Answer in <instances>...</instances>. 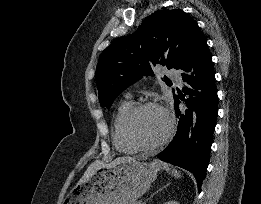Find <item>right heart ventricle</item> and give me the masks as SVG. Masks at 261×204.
I'll list each match as a JSON object with an SVG mask.
<instances>
[{"label": "right heart ventricle", "instance_id": "1", "mask_svg": "<svg viewBox=\"0 0 261 204\" xmlns=\"http://www.w3.org/2000/svg\"><path fill=\"white\" fill-rule=\"evenodd\" d=\"M134 106V102L131 100H125L121 102L118 105L113 118V143L115 148L121 153L131 154L137 151V149L127 141L123 133L124 119Z\"/></svg>", "mask_w": 261, "mask_h": 204}]
</instances>
